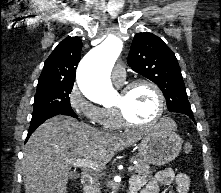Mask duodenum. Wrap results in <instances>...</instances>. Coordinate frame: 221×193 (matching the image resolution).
I'll return each mask as SVG.
<instances>
[{"label": "duodenum", "mask_w": 221, "mask_h": 193, "mask_svg": "<svg viewBox=\"0 0 221 193\" xmlns=\"http://www.w3.org/2000/svg\"><path fill=\"white\" fill-rule=\"evenodd\" d=\"M81 184L86 193L89 192L92 183V177L89 171H83L80 176ZM126 193H136L134 190H129Z\"/></svg>", "instance_id": "1"}]
</instances>
